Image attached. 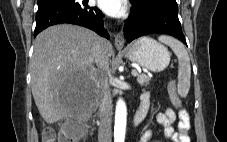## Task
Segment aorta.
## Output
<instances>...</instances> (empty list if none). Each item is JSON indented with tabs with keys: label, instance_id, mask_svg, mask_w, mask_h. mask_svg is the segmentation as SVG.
Segmentation results:
<instances>
[{
	"label": "aorta",
	"instance_id": "aorta-1",
	"mask_svg": "<svg viewBox=\"0 0 227 142\" xmlns=\"http://www.w3.org/2000/svg\"><path fill=\"white\" fill-rule=\"evenodd\" d=\"M127 122V107L122 98H119L115 110L114 142H124Z\"/></svg>",
	"mask_w": 227,
	"mask_h": 142
}]
</instances>
